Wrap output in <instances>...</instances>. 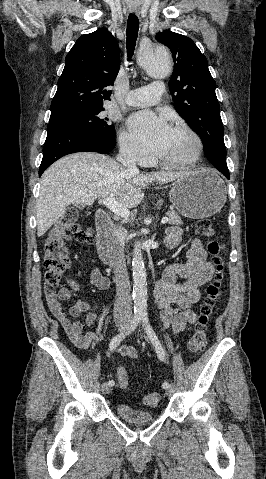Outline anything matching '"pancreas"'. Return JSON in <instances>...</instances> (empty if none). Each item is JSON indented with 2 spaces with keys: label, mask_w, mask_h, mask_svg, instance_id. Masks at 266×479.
<instances>
[{
  "label": "pancreas",
  "mask_w": 266,
  "mask_h": 479,
  "mask_svg": "<svg viewBox=\"0 0 266 479\" xmlns=\"http://www.w3.org/2000/svg\"><path fill=\"white\" fill-rule=\"evenodd\" d=\"M167 217H168V223L169 224H172V225H181L183 224L180 216L177 214L176 211L174 210H170L166 213Z\"/></svg>",
  "instance_id": "cf45deb5"
}]
</instances>
